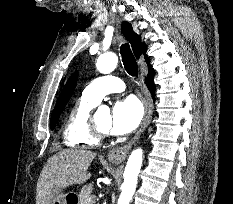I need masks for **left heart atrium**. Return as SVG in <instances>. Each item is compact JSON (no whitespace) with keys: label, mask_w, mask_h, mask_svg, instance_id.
<instances>
[{"label":"left heart atrium","mask_w":233,"mask_h":204,"mask_svg":"<svg viewBox=\"0 0 233 204\" xmlns=\"http://www.w3.org/2000/svg\"><path fill=\"white\" fill-rule=\"evenodd\" d=\"M142 117L143 107L136 97L118 100L112 109L109 130L113 135L128 134L137 128Z\"/></svg>","instance_id":"39dd6f15"}]
</instances>
